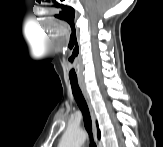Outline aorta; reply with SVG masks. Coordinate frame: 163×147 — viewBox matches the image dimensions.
I'll return each mask as SVG.
<instances>
[{
	"mask_svg": "<svg viewBox=\"0 0 163 147\" xmlns=\"http://www.w3.org/2000/svg\"><path fill=\"white\" fill-rule=\"evenodd\" d=\"M86 140L85 132L80 128L70 127L60 141V147H81Z\"/></svg>",
	"mask_w": 163,
	"mask_h": 147,
	"instance_id": "obj_1",
	"label": "aorta"
}]
</instances>
